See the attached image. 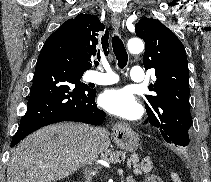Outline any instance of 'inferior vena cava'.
<instances>
[{"mask_svg":"<svg viewBox=\"0 0 211 182\" xmlns=\"http://www.w3.org/2000/svg\"><path fill=\"white\" fill-rule=\"evenodd\" d=\"M96 133H97L96 129L91 130L89 143H88L87 148H86V151H87V153H86V164H90L93 160H95L97 158V156L92 153V143H93V140H94V135ZM88 180L90 182L89 178H88Z\"/></svg>","mask_w":211,"mask_h":182,"instance_id":"inferior-vena-cava-1","label":"inferior vena cava"}]
</instances>
